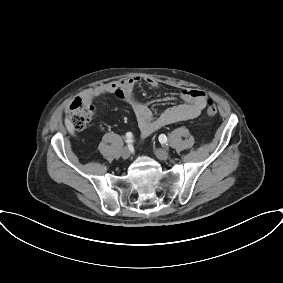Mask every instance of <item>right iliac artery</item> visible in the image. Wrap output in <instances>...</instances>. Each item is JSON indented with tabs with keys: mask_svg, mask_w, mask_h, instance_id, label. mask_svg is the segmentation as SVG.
I'll list each match as a JSON object with an SVG mask.
<instances>
[{
	"mask_svg": "<svg viewBox=\"0 0 283 283\" xmlns=\"http://www.w3.org/2000/svg\"><path fill=\"white\" fill-rule=\"evenodd\" d=\"M132 139H133L132 133H131V132H128V133L126 134V142H127L128 144H131V143H132Z\"/></svg>",
	"mask_w": 283,
	"mask_h": 283,
	"instance_id": "1",
	"label": "right iliac artery"
}]
</instances>
